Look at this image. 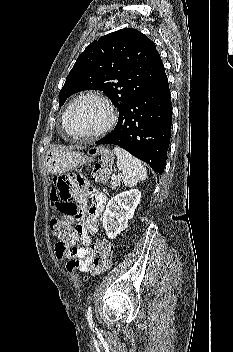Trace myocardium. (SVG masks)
Masks as SVG:
<instances>
[{
	"mask_svg": "<svg viewBox=\"0 0 233 352\" xmlns=\"http://www.w3.org/2000/svg\"><path fill=\"white\" fill-rule=\"evenodd\" d=\"M84 99H93L96 101H99L100 103H102L105 108L107 109L108 112V118L106 120V122L97 130L93 131V132H89V133H77L75 132L72 127H71V123H70V115H71V111L73 109V107L81 100ZM117 120V112L113 106V104L103 95H100L98 93H85V94H81L78 97H76L68 106L67 110H66V116H65V124H66V128L68 133L75 137V138H79V139H93V138H97L103 134H105L106 132H108L116 123Z\"/></svg>",
	"mask_w": 233,
	"mask_h": 352,
	"instance_id": "myocardium-1",
	"label": "myocardium"
}]
</instances>
